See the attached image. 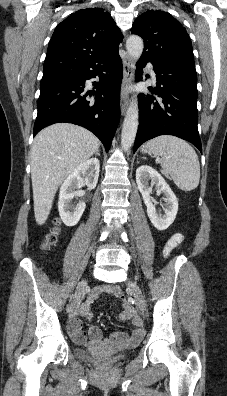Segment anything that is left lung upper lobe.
<instances>
[{
	"label": "left lung upper lobe",
	"mask_w": 227,
	"mask_h": 396,
	"mask_svg": "<svg viewBox=\"0 0 227 396\" xmlns=\"http://www.w3.org/2000/svg\"><path fill=\"white\" fill-rule=\"evenodd\" d=\"M131 33L144 40L141 57L196 72L190 37L181 23L169 13L146 11L134 21Z\"/></svg>",
	"instance_id": "1"
}]
</instances>
